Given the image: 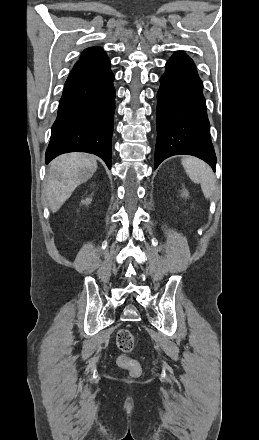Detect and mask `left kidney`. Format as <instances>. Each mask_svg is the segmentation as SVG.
Instances as JSON below:
<instances>
[{
  "label": "left kidney",
  "mask_w": 259,
  "mask_h": 440,
  "mask_svg": "<svg viewBox=\"0 0 259 440\" xmlns=\"http://www.w3.org/2000/svg\"><path fill=\"white\" fill-rule=\"evenodd\" d=\"M182 196H183V197H188V191L184 189V190H183V193H182Z\"/></svg>",
  "instance_id": "left-kidney-1"
}]
</instances>
